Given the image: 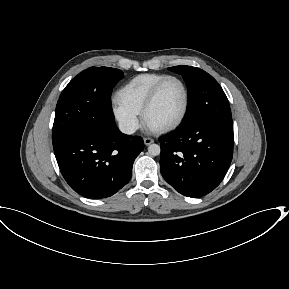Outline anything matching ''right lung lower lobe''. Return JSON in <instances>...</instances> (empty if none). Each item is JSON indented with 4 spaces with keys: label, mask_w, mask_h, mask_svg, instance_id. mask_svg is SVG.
Instances as JSON below:
<instances>
[{
    "label": "right lung lower lobe",
    "mask_w": 289,
    "mask_h": 289,
    "mask_svg": "<svg viewBox=\"0 0 289 289\" xmlns=\"http://www.w3.org/2000/svg\"><path fill=\"white\" fill-rule=\"evenodd\" d=\"M53 148L69 186L84 197L99 199L112 196L129 182L144 142L122 134L114 123L84 127Z\"/></svg>",
    "instance_id": "obj_1"
}]
</instances>
